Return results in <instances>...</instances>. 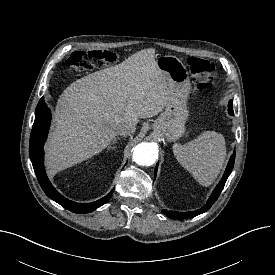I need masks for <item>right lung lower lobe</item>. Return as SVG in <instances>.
I'll return each instance as SVG.
<instances>
[{"label": "right lung lower lobe", "mask_w": 275, "mask_h": 275, "mask_svg": "<svg viewBox=\"0 0 275 275\" xmlns=\"http://www.w3.org/2000/svg\"><path fill=\"white\" fill-rule=\"evenodd\" d=\"M51 121V113L42 97L36 107L35 120L30 135L29 154L30 159L37 176L38 182L45 194L74 213H89L98 207L104 205L111 197L113 189L105 197L92 203H76L63 197L48 180L44 169V151L43 146L46 141Z\"/></svg>", "instance_id": "obj_1"}]
</instances>
